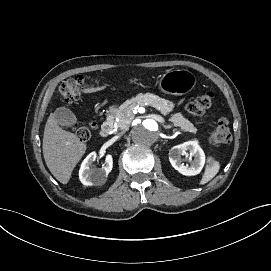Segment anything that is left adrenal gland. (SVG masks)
I'll return each mask as SVG.
<instances>
[{
	"label": "left adrenal gland",
	"mask_w": 271,
	"mask_h": 271,
	"mask_svg": "<svg viewBox=\"0 0 271 271\" xmlns=\"http://www.w3.org/2000/svg\"><path fill=\"white\" fill-rule=\"evenodd\" d=\"M163 127H164L165 129H169V128H172L173 126H172V125H163Z\"/></svg>",
	"instance_id": "1"
}]
</instances>
